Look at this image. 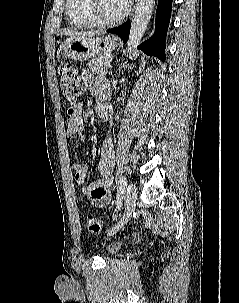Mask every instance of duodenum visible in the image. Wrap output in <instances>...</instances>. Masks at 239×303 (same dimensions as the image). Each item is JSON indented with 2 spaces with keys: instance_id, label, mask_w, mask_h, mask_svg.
Segmentation results:
<instances>
[{
  "instance_id": "duodenum-1",
  "label": "duodenum",
  "mask_w": 239,
  "mask_h": 303,
  "mask_svg": "<svg viewBox=\"0 0 239 303\" xmlns=\"http://www.w3.org/2000/svg\"><path fill=\"white\" fill-rule=\"evenodd\" d=\"M98 113H99L100 118L104 121H107L110 117V111H109L108 106H106V105H100Z\"/></svg>"
}]
</instances>
